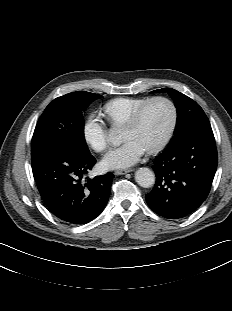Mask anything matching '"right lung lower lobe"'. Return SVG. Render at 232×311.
I'll list each match as a JSON object with an SVG mask.
<instances>
[{"mask_svg":"<svg viewBox=\"0 0 232 311\" xmlns=\"http://www.w3.org/2000/svg\"><path fill=\"white\" fill-rule=\"evenodd\" d=\"M32 171L46 207L69 224H85L101 214L111 193L114 175L85 178L96 163L89 154L57 146L31 153Z\"/></svg>","mask_w":232,"mask_h":311,"instance_id":"obj_1","label":"right lung lower lobe"}]
</instances>
